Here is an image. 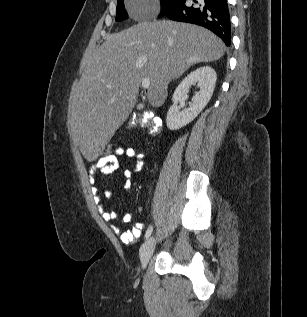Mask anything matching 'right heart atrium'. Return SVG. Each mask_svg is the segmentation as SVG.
Here are the masks:
<instances>
[{
  "label": "right heart atrium",
  "instance_id": "right-heart-atrium-1",
  "mask_svg": "<svg viewBox=\"0 0 307 317\" xmlns=\"http://www.w3.org/2000/svg\"><path fill=\"white\" fill-rule=\"evenodd\" d=\"M143 1V0H137ZM156 9L153 6L143 5L142 7L138 8L136 11V16L139 18H148L155 14Z\"/></svg>",
  "mask_w": 307,
  "mask_h": 317
}]
</instances>
